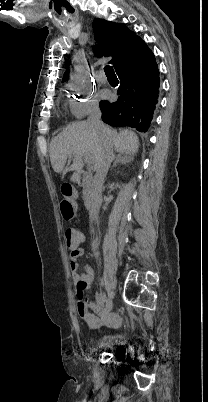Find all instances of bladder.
<instances>
[{
    "label": "bladder",
    "instance_id": "obj_1",
    "mask_svg": "<svg viewBox=\"0 0 208 402\" xmlns=\"http://www.w3.org/2000/svg\"><path fill=\"white\" fill-rule=\"evenodd\" d=\"M119 340L118 336H105L98 339L100 343V348L109 347L114 345Z\"/></svg>",
    "mask_w": 208,
    "mask_h": 402
}]
</instances>
